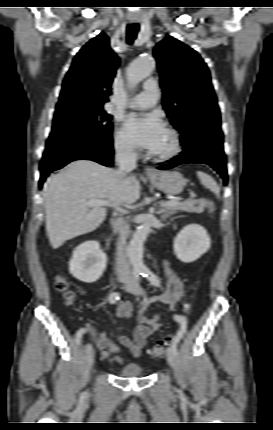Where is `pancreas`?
I'll list each match as a JSON object with an SVG mask.
<instances>
[{
	"label": "pancreas",
	"mask_w": 273,
	"mask_h": 430,
	"mask_svg": "<svg viewBox=\"0 0 273 430\" xmlns=\"http://www.w3.org/2000/svg\"><path fill=\"white\" fill-rule=\"evenodd\" d=\"M207 202L205 200H186L182 202H178L175 206H166V209L171 212L176 211H185L190 213L200 214L204 212V208L206 207ZM121 223V219H118L114 222V227L118 228Z\"/></svg>",
	"instance_id": "obj_1"
}]
</instances>
